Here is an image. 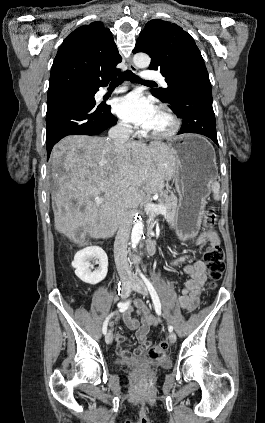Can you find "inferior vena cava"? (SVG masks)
Instances as JSON below:
<instances>
[{
    "label": "inferior vena cava",
    "instance_id": "1",
    "mask_svg": "<svg viewBox=\"0 0 265 423\" xmlns=\"http://www.w3.org/2000/svg\"><path fill=\"white\" fill-rule=\"evenodd\" d=\"M131 132V126L129 124L119 122L109 130L108 141L118 148H123L129 142ZM132 222L133 212L127 211L119 226L114 242V259L121 279L131 276V270L127 259V243L132 228Z\"/></svg>",
    "mask_w": 265,
    "mask_h": 423
}]
</instances>
